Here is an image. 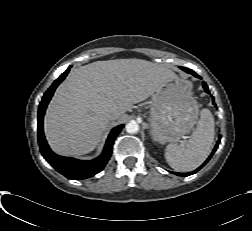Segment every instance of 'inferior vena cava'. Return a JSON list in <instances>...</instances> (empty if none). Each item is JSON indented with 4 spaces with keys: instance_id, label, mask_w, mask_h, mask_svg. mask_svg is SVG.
Wrapping results in <instances>:
<instances>
[{
    "instance_id": "1",
    "label": "inferior vena cava",
    "mask_w": 252,
    "mask_h": 231,
    "mask_svg": "<svg viewBox=\"0 0 252 231\" xmlns=\"http://www.w3.org/2000/svg\"><path fill=\"white\" fill-rule=\"evenodd\" d=\"M114 117V114H110L109 118L112 119Z\"/></svg>"
}]
</instances>
